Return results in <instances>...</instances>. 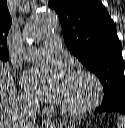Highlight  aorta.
<instances>
[{"label": "aorta", "instance_id": "aorta-1", "mask_svg": "<svg viewBox=\"0 0 125 128\" xmlns=\"http://www.w3.org/2000/svg\"><path fill=\"white\" fill-rule=\"evenodd\" d=\"M58 24L56 13L47 9L30 19L25 26V37L30 41H39L54 31Z\"/></svg>", "mask_w": 125, "mask_h": 128}]
</instances>
